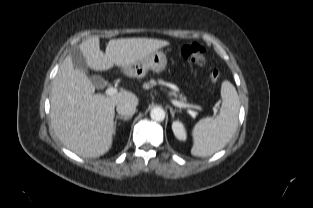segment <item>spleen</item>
Masks as SVG:
<instances>
[{"label":"spleen","mask_w":313,"mask_h":208,"mask_svg":"<svg viewBox=\"0 0 313 208\" xmlns=\"http://www.w3.org/2000/svg\"><path fill=\"white\" fill-rule=\"evenodd\" d=\"M221 97L222 105L218 116L215 119L203 118L193 128V156L207 157L221 150L237 129L240 101L231 82H222Z\"/></svg>","instance_id":"spleen-1"}]
</instances>
